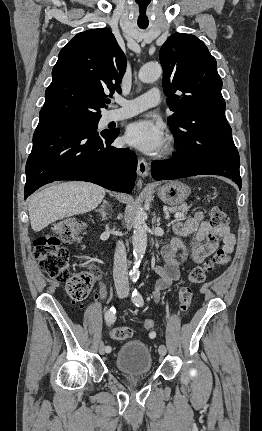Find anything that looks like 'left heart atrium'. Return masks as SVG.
<instances>
[{"instance_id": "obj_1", "label": "left heart atrium", "mask_w": 262, "mask_h": 431, "mask_svg": "<svg viewBox=\"0 0 262 431\" xmlns=\"http://www.w3.org/2000/svg\"><path fill=\"white\" fill-rule=\"evenodd\" d=\"M124 140L127 144L151 155L164 147L166 137L159 124L143 119L135 121L127 127Z\"/></svg>"}]
</instances>
